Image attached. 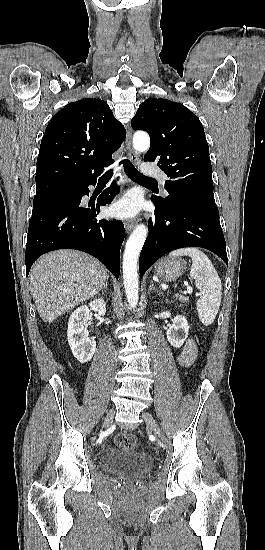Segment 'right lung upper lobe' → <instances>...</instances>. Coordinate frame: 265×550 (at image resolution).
Instances as JSON below:
<instances>
[{"label": "right lung upper lobe", "mask_w": 265, "mask_h": 550, "mask_svg": "<svg viewBox=\"0 0 265 550\" xmlns=\"http://www.w3.org/2000/svg\"><path fill=\"white\" fill-rule=\"evenodd\" d=\"M126 133L108 104L85 98L67 104L49 122L37 159L36 185L73 188L97 179L114 162Z\"/></svg>", "instance_id": "right-lung-upper-lobe-1"}]
</instances>
